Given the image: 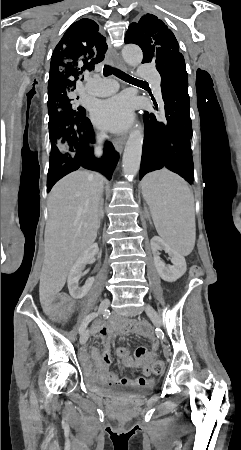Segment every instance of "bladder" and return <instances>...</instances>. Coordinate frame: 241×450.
<instances>
[{
	"label": "bladder",
	"instance_id": "bladder-1",
	"mask_svg": "<svg viewBox=\"0 0 241 450\" xmlns=\"http://www.w3.org/2000/svg\"><path fill=\"white\" fill-rule=\"evenodd\" d=\"M125 392L124 391H122V390H120V389H111L110 390V394H112V395H123Z\"/></svg>",
	"mask_w": 241,
	"mask_h": 450
}]
</instances>
